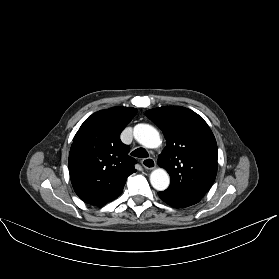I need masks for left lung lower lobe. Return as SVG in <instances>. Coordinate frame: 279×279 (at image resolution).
<instances>
[{"instance_id": "obj_1", "label": "left lung lower lobe", "mask_w": 279, "mask_h": 279, "mask_svg": "<svg viewBox=\"0 0 279 279\" xmlns=\"http://www.w3.org/2000/svg\"><path fill=\"white\" fill-rule=\"evenodd\" d=\"M158 195L164 202L174 208H185L199 202L198 200L192 198L169 193L166 190L158 192Z\"/></svg>"}]
</instances>
